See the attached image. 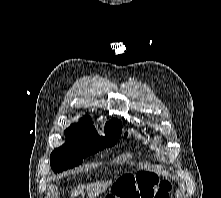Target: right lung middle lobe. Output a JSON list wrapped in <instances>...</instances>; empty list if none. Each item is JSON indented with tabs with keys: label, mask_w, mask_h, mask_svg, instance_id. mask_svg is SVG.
<instances>
[{
	"label": "right lung middle lobe",
	"mask_w": 221,
	"mask_h": 198,
	"mask_svg": "<svg viewBox=\"0 0 221 198\" xmlns=\"http://www.w3.org/2000/svg\"><path fill=\"white\" fill-rule=\"evenodd\" d=\"M106 137L97 133L87 137H66V143L55 149L50 156V165L55 173L76 167L83 158L114 145L121 132L105 131Z\"/></svg>",
	"instance_id": "dd1d6c3e"
}]
</instances>
